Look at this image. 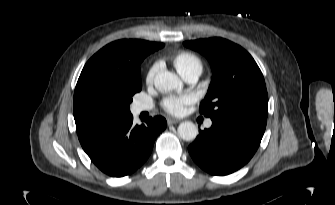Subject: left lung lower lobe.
Wrapping results in <instances>:
<instances>
[{"label":"left lung lower lobe","mask_w":335,"mask_h":205,"mask_svg":"<svg viewBox=\"0 0 335 205\" xmlns=\"http://www.w3.org/2000/svg\"><path fill=\"white\" fill-rule=\"evenodd\" d=\"M211 119V128L199 130L200 134L188 150L195 163L206 172L228 175L252 158L265 129L224 117Z\"/></svg>","instance_id":"obj_1"}]
</instances>
